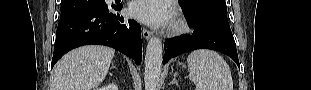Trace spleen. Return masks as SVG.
Masks as SVG:
<instances>
[{
  "label": "spleen",
  "instance_id": "1",
  "mask_svg": "<svg viewBox=\"0 0 311 90\" xmlns=\"http://www.w3.org/2000/svg\"><path fill=\"white\" fill-rule=\"evenodd\" d=\"M189 77L196 90H233L226 61L212 50H195L187 58Z\"/></svg>",
  "mask_w": 311,
  "mask_h": 90
}]
</instances>
